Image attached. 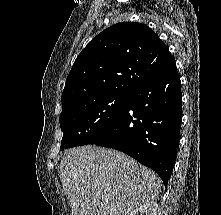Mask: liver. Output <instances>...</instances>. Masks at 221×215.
<instances>
[{"instance_id": "6515ba94", "label": "liver", "mask_w": 221, "mask_h": 215, "mask_svg": "<svg viewBox=\"0 0 221 215\" xmlns=\"http://www.w3.org/2000/svg\"><path fill=\"white\" fill-rule=\"evenodd\" d=\"M60 173L71 215L93 209L97 215H126L157 199L161 191L157 174L113 149H69L61 159Z\"/></svg>"}]
</instances>
